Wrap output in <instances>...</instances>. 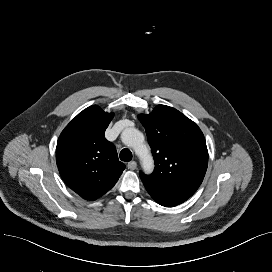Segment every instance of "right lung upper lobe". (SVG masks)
Returning a JSON list of instances; mask_svg holds the SVG:
<instances>
[{"instance_id": "cb5924a9", "label": "right lung upper lobe", "mask_w": 272, "mask_h": 272, "mask_svg": "<svg viewBox=\"0 0 272 272\" xmlns=\"http://www.w3.org/2000/svg\"><path fill=\"white\" fill-rule=\"evenodd\" d=\"M92 105L79 113L62 131L56 162L65 183L86 200H95L117 182L125 165L104 133L113 118Z\"/></svg>"}]
</instances>
